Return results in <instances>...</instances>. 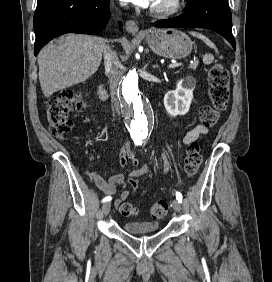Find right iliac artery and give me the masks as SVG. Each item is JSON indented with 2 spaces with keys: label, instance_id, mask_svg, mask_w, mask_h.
Here are the masks:
<instances>
[{
  "label": "right iliac artery",
  "instance_id": "82829eb1",
  "mask_svg": "<svg viewBox=\"0 0 272 282\" xmlns=\"http://www.w3.org/2000/svg\"><path fill=\"white\" fill-rule=\"evenodd\" d=\"M135 145H141V143L137 141V142H135ZM110 200H111V197L107 196V197L103 198L102 202H106V201H110Z\"/></svg>",
  "mask_w": 272,
  "mask_h": 282
}]
</instances>
